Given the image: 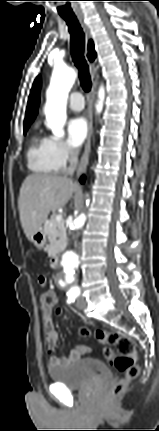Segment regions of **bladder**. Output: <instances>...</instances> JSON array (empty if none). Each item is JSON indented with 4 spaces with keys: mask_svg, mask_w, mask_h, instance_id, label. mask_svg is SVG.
Here are the masks:
<instances>
[{
    "mask_svg": "<svg viewBox=\"0 0 159 431\" xmlns=\"http://www.w3.org/2000/svg\"><path fill=\"white\" fill-rule=\"evenodd\" d=\"M48 375L52 382L76 390L97 380L109 378L111 371L97 359L83 358L63 367H51L48 369Z\"/></svg>",
    "mask_w": 159,
    "mask_h": 431,
    "instance_id": "bladder-1",
    "label": "bladder"
}]
</instances>
